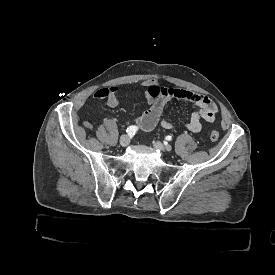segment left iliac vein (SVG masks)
<instances>
[{"instance_id":"obj_1","label":"left iliac vein","mask_w":275,"mask_h":275,"mask_svg":"<svg viewBox=\"0 0 275 275\" xmlns=\"http://www.w3.org/2000/svg\"><path fill=\"white\" fill-rule=\"evenodd\" d=\"M153 146H154L155 149H158V150L161 151V152H170V151L172 150L171 145H165V146H164V145H163L161 142H159V141L154 142Z\"/></svg>"}]
</instances>
